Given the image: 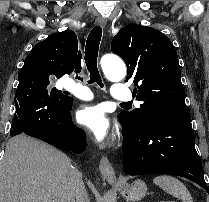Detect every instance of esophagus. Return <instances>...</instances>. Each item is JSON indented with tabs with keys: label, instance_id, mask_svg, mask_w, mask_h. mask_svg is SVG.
Instances as JSON below:
<instances>
[{
	"label": "esophagus",
	"instance_id": "34e87169",
	"mask_svg": "<svg viewBox=\"0 0 209 202\" xmlns=\"http://www.w3.org/2000/svg\"><path fill=\"white\" fill-rule=\"evenodd\" d=\"M106 23H107L106 19L102 17H98L96 20V24L99 25L100 27H105ZM99 170L107 181L112 182L116 179L113 166L107 157L101 158L99 163Z\"/></svg>",
	"mask_w": 209,
	"mask_h": 202
}]
</instances>
